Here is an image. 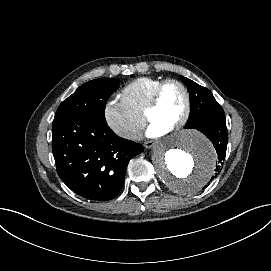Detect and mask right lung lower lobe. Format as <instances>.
Here are the masks:
<instances>
[{
	"label": "right lung lower lobe",
	"mask_w": 271,
	"mask_h": 271,
	"mask_svg": "<svg viewBox=\"0 0 271 271\" xmlns=\"http://www.w3.org/2000/svg\"><path fill=\"white\" fill-rule=\"evenodd\" d=\"M52 150L60 179L91 201L115 198L140 143L118 137L105 121L74 117L53 125Z\"/></svg>",
	"instance_id": "1"
}]
</instances>
